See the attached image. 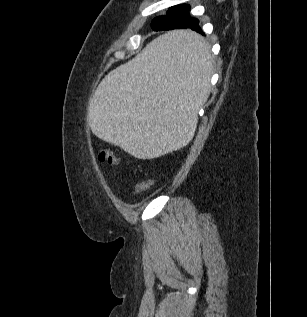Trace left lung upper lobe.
I'll return each mask as SVG.
<instances>
[{
  "label": "left lung upper lobe",
  "mask_w": 307,
  "mask_h": 317,
  "mask_svg": "<svg viewBox=\"0 0 307 317\" xmlns=\"http://www.w3.org/2000/svg\"><path fill=\"white\" fill-rule=\"evenodd\" d=\"M190 6L187 4H179L169 8L167 14L165 16H160L157 20H164L169 22L173 28L178 25L187 24L193 17H191Z\"/></svg>",
  "instance_id": "5c2ea615"
}]
</instances>
